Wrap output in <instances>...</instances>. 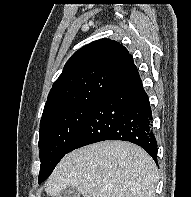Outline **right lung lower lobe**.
Masks as SVG:
<instances>
[{
  "instance_id": "98d812e1",
  "label": "right lung lower lobe",
  "mask_w": 191,
  "mask_h": 197,
  "mask_svg": "<svg viewBox=\"0 0 191 197\" xmlns=\"http://www.w3.org/2000/svg\"><path fill=\"white\" fill-rule=\"evenodd\" d=\"M104 140L129 141L157 160L149 98L139 75L110 88L96 103L67 153Z\"/></svg>"
}]
</instances>
